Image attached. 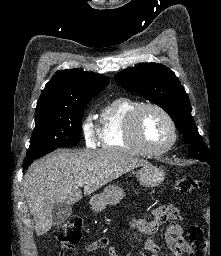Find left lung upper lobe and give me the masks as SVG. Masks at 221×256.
Wrapping results in <instances>:
<instances>
[{
	"label": "left lung upper lobe",
	"instance_id": "1",
	"mask_svg": "<svg viewBox=\"0 0 221 256\" xmlns=\"http://www.w3.org/2000/svg\"><path fill=\"white\" fill-rule=\"evenodd\" d=\"M117 83L163 108L189 144L190 155L201 161H210V151L203 142L191 115L189 98L175 73L154 62L142 63L114 76Z\"/></svg>",
	"mask_w": 221,
	"mask_h": 256
}]
</instances>
